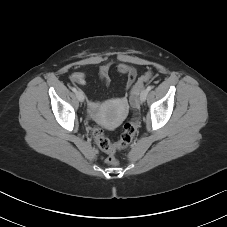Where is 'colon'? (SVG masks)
Segmentation results:
<instances>
[{
	"instance_id": "colon-1",
	"label": "colon",
	"mask_w": 227,
	"mask_h": 227,
	"mask_svg": "<svg viewBox=\"0 0 227 227\" xmlns=\"http://www.w3.org/2000/svg\"><path fill=\"white\" fill-rule=\"evenodd\" d=\"M152 78L153 73L146 72L138 79L137 83L134 85L130 93V100L133 105L135 104V98L138 92L147 82L152 80ZM136 131L137 121L134 119L124 124L120 139L117 143H111L110 140L104 135L102 129H100L99 127H95L93 129V136L98 147L108 154L106 162L110 165L115 166L118 164V159L115 156L116 151L126 148L132 142Z\"/></svg>"
}]
</instances>
